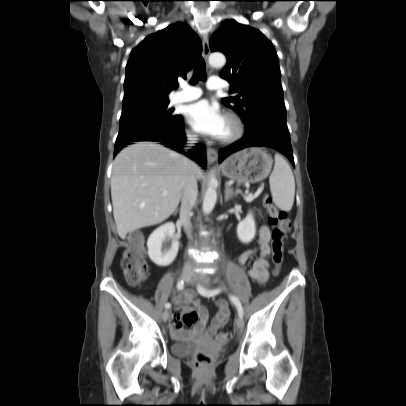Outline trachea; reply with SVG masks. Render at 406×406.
<instances>
[{
  "label": "trachea",
  "instance_id": "trachea-1",
  "mask_svg": "<svg viewBox=\"0 0 406 406\" xmlns=\"http://www.w3.org/2000/svg\"><path fill=\"white\" fill-rule=\"evenodd\" d=\"M199 80H206V65L203 58H198L195 64L192 79L190 83L195 85Z\"/></svg>",
  "mask_w": 406,
  "mask_h": 406
}]
</instances>
